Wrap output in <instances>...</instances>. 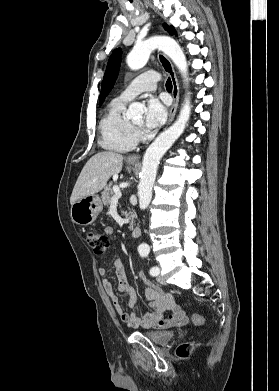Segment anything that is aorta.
Segmentation results:
<instances>
[{
  "instance_id": "1",
  "label": "aorta",
  "mask_w": 279,
  "mask_h": 391,
  "mask_svg": "<svg viewBox=\"0 0 279 391\" xmlns=\"http://www.w3.org/2000/svg\"><path fill=\"white\" fill-rule=\"evenodd\" d=\"M162 50L176 65L180 73L187 79L188 65L186 56L179 44L170 37L155 36L143 42L137 43L128 54L126 62L130 69L138 70L144 67L150 54L155 50ZM143 111V105L135 102L130 104L128 115L139 116ZM191 105L189 96L185 98L177 120L172 126L163 131L146 150L143 162L140 183L138 186L139 207L144 210L152 199V188L156 179L159 162L167 150L184 132L190 118ZM142 248H148L143 244Z\"/></svg>"
}]
</instances>
